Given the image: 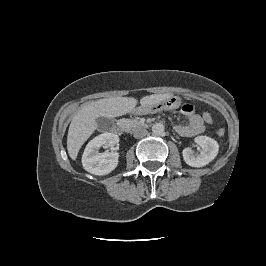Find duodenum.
Returning <instances> with one entry per match:
<instances>
[{"instance_id":"1","label":"duodenum","mask_w":266,"mask_h":266,"mask_svg":"<svg viewBox=\"0 0 266 266\" xmlns=\"http://www.w3.org/2000/svg\"><path fill=\"white\" fill-rule=\"evenodd\" d=\"M114 129L117 133L121 134L125 131V123L122 120H119L115 123Z\"/></svg>"}]
</instances>
